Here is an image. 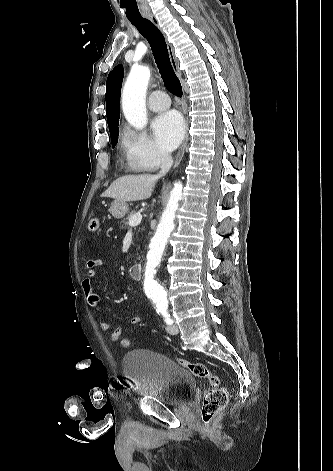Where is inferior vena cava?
Returning <instances> with one entry per match:
<instances>
[{"mask_svg": "<svg viewBox=\"0 0 333 471\" xmlns=\"http://www.w3.org/2000/svg\"><path fill=\"white\" fill-rule=\"evenodd\" d=\"M173 164V159L172 156L169 153H162L161 157V170L157 177H162L164 176L171 168Z\"/></svg>", "mask_w": 333, "mask_h": 471, "instance_id": "obj_1", "label": "inferior vena cava"}]
</instances>
